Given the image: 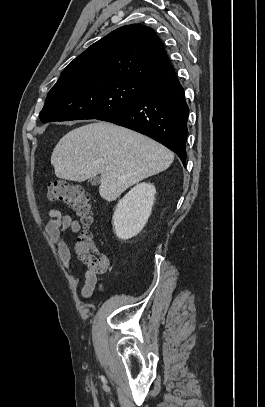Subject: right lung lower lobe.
Instances as JSON below:
<instances>
[{
	"instance_id": "98d812e1",
	"label": "right lung lower lobe",
	"mask_w": 265,
	"mask_h": 407,
	"mask_svg": "<svg viewBox=\"0 0 265 407\" xmlns=\"http://www.w3.org/2000/svg\"><path fill=\"white\" fill-rule=\"evenodd\" d=\"M188 115L184 90L174 73L135 104L97 119L153 138L175 152L185 167Z\"/></svg>"
}]
</instances>
